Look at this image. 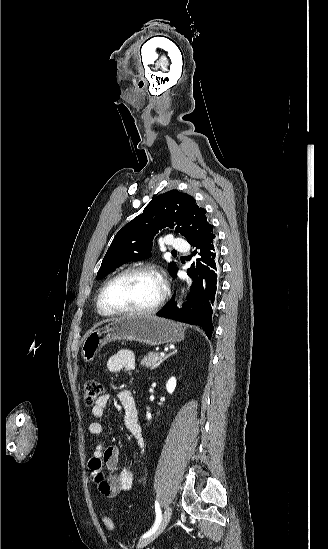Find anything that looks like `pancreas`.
Here are the masks:
<instances>
[{
	"label": "pancreas",
	"mask_w": 328,
	"mask_h": 549,
	"mask_svg": "<svg viewBox=\"0 0 328 549\" xmlns=\"http://www.w3.org/2000/svg\"><path fill=\"white\" fill-rule=\"evenodd\" d=\"M163 361L164 359L163 357H159V353H148L146 357L141 359L140 365H142V367H147V369H150V367L151 369H156Z\"/></svg>",
	"instance_id": "cf45deb5"
}]
</instances>
